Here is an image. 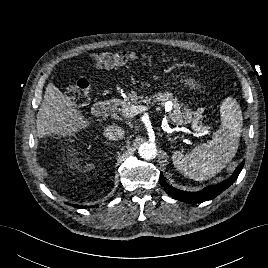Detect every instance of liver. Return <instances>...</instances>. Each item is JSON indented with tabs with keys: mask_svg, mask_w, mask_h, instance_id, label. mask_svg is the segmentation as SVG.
<instances>
[{
	"mask_svg": "<svg viewBox=\"0 0 268 268\" xmlns=\"http://www.w3.org/2000/svg\"><path fill=\"white\" fill-rule=\"evenodd\" d=\"M90 123L69 96L64 95L53 83L47 85L36 120L39 139L55 134L73 136L89 127Z\"/></svg>",
	"mask_w": 268,
	"mask_h": 268,
	"instance_id": "6515ba94",
	"label": "liver"
}]
</instances>
